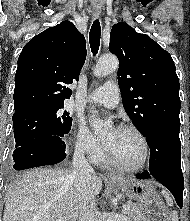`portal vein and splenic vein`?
I'll return each mask as SVG.
<instances>
[{
  "instance_id": "portal-vein-and-splenic-vein-1",
  "label": "portal vein and splenic vein",
  "mask_w": 190,
  "mask_h": 221,
  "mask_svg": "<svg viewBox=\"0 0 190 221\" xmlns=\"http://www.w3.org/2000/svg\"><path fill=\"white\" fill-rule=\"evenodd\" d=\"M123 209L124 210H130V206L128 204L123 205ZM57 221H62L61 219L57 220Z\"/></svg>"
}]
</instances>
